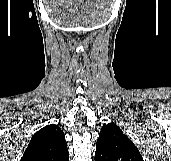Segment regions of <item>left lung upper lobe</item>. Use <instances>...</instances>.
Segmentation results:
<instances>
[{"label":"left lung upper lobe","instance_id":"obj_1","mask_svg":"<svg viewBox=\"0 0 171 161\" xmlns=\"http://www.w3.org/2000/svg\"><path fill=\"white\" fill-rule=\"evenodd\" d=\"M95 161H143L137 147L114 123L104 124L96 143Z\"/></svg>","mask_w":171,"mask_h":161}]
</instances>
